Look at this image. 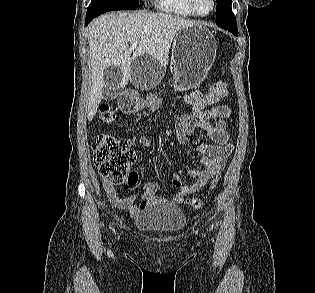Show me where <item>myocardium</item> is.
Here are the masks:
<instances>
[{"instance_id": "obj_1", "label": "myocardium", "mask_w": 315, "mask_h": 293, "mask_svg": "<svg viewBox=\"0 0 315 293\" xmlns=\"http://www.w3.org/2000/svg\"><path fill=\"white\" fill-rule=\"evenodd\" d=\"M188 2H189V6L192 9V11L196 14V16H199V17H207V16L211 15L216 8V0H211V2H212L211 10L208 13L203 14V13L198 11L197 5H196V0H188Z\"/></svg>"}]
</instances>
